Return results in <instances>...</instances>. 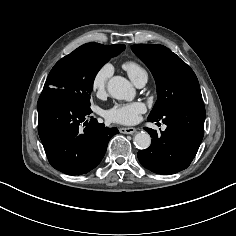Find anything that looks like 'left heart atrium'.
<instances>
[{"label": "left heart atrium", "instance_id": "obj_1", "mask_svg": "<svg viewBox=\"0 0 236 236\" xmlns=\"http://www.w3.org/2000/svg\"><path fill=\"white\" fill-rule=\"evenodd\" d=\"M145 111L146 106L141 101L117 103L106 111V118L120 124H134Z\"/></svg>", "mask_w": 236, "mask_h": 236}]
</instances>
